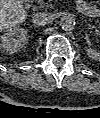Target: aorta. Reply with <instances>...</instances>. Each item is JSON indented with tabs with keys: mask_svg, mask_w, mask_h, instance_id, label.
I'll return each instance as SVG.
<instances>
[{
	"mask_svg": "<svg viewBox=\"0 0 100 118\" xmlns=\"http://www.w3.org/2000/svg\"><path fill=\"white\" fill-rule=\"evenodd\" d=\"M59 23L61 28L65 31H70L75 27V19L69 14L62 16Z\"/></svg>",
	"mask_w": 100,
	"mask_h": 118,
	"instance_id": "1",
	"label": "aorta"
}]
</instances>
